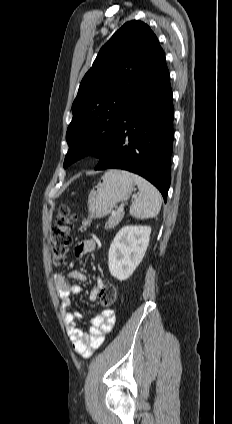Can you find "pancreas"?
I'll list each match as a JSON object with an SVG mask.
<instances>
[{
	"label": "pancreas",
	"mask_w": 232,
	"mask_h": 424,
	"mask_svg": "<svg viewBox=\"0 0 232 424\" xmlns=\"http://www.w3.org/2000/svg\"><path fill=\"white\" fill-rule=\"evenodd\" d=\"M124 217V213L123 212H119L116 211L115 214H112L109 218L108 221L106 222L105 228L106 229H113L115 228L119 222H121V220Z\"/></svg>",
	"instance_id": "cf45deb5"
}]
</instances>
